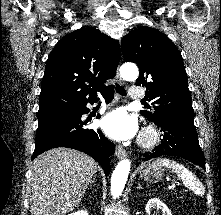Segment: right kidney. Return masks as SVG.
<instances>
[{"label":"right kidney","mask_w":221,"mask_h":215,"mask_svg":"<svg viewBox=\"0 0 221 215\" xmlns=\"http://www.w3.org/2000/svg\"><path fill=\"white\" fill-rule=\"evenodd\" d=\"M69 215H88V212L85 211V210H80L78 212H75V213H71Z\"/></svg>","instance_id":"obj_1"}]
</instances>
